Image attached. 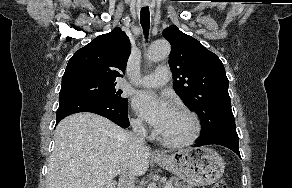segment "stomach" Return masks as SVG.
<instances>
[{"mask_svg": "<svg viewBox=\"0 0 292 188\" xmlns=\"http://www.w3.org/2000/svg\"><path fill=\"white\" fill-rule=\"evenodd\" d=\"M155 161L190 186L215 183L225 168L222 157L209 147L183 149L164 159L155 158Z\"/></svg>", "mask_w": 292, "mask_h": 188, "instance_id": "1", "label": "stomach"}]
</instances>
